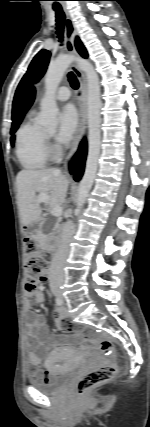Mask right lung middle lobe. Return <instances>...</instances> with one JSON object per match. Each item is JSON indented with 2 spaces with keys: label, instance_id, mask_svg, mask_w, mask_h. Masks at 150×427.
Instances as JSON below:
<instances>
[{
  "label": "right lung middle lobe",
  "instance_id": "dd1d6c3e",
  "mask_svg": "<svg viewBox=\"0 0 150 427\" xmlns=\"http://www.w3.org/2000/svg\"><path fill=\"white\" fill-rule=\"evenodd\" d=\"M20 123H21V122H19V123H16V124L12 125V128H11V134H12V135H13V134L15 133V131L18 129V126H19V124H20ZM11 141H12V142L14 141V136H12Z\"/></svg>",
  "mask_w": 150,
  "mask_h": 427
}]
</instances>
